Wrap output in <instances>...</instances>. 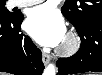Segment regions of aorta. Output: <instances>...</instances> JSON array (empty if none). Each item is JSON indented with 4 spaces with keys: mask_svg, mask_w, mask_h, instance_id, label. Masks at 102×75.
Instances as JSON below:
<instances>
[{
    "mask_svg": "<svg viewBox=\"0 0 102 75\" xmlns=\"http://www.w3.org/2000/svg\"><path fill=\"white\" fill-rule=\"evenodd\" d=\"M55 74H56V68L54 64H49L43 71V75H55Z\"/></svg>",
    "mask_w": 102,
    "mask_h": 75,
    "instance_id": "obj_1",
    "label": "aorta"
}]
</instances>
